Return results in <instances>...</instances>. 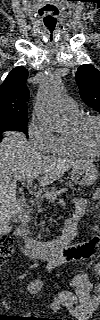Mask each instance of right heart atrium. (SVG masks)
<instances>
[{
  "instance_id": "1",
  "label": "right heart atrium",
  "mask_w": 100,
  "mask_h": 320,
  "mask_svg": "<svg viewBox=\"0 0 100 320\" xmlns=\"http://www.w3.org/2000/svg\"><path fill=\"white\" fill-rule=\"evenodd\" d=\"M27 133L34 148L41 152H51L56 136L47 126L34 118L28 125Z\"/></svg>"
}]
</instances>
